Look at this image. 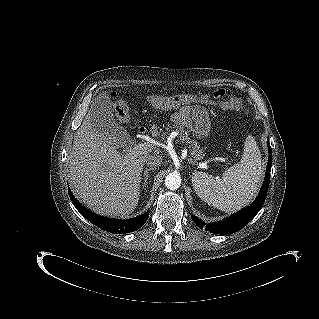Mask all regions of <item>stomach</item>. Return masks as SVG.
Masks as SVG:
<instances>
[{
    "label": "stomach",
    "instance_id": "1",
    "mask_svg": "<svg viewBox=\"0 0 319 319\" xmlns=\"http://www.w3.org/2000/svg\"><path fill=\"white\" fill-rule=\"evenodd\" d=\"M182 124L199 137H206L211 128L209 114L204 109H192L183 117Z\"/></svg>",
    "mask_w": 319,
    "mask_h": 319
}]
</instances>
